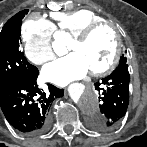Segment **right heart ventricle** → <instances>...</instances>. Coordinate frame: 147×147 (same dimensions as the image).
Here are the masks:
<instances>
[{
    "label": "right heart ventricle",
    "instance_id": "1",
    "mask_svg": "<svg viewBox=\"0 0 147 147\" xmlns=\"http://www.w3.org/2000/svg\"><path fill=\"white\" fill-rule=\"evenodd\" d=\"M52 17L57 21L61 31L74 37L88 26L104 21V18L90 9H78L71 12H54Z\"/></svg>",
    "mask_w": 147,
    "mask_h": 147
}]
</instances>
